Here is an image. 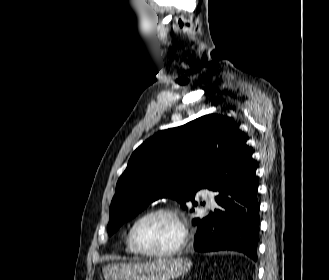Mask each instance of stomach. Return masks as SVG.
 I'll list each match as a JSON object with an SVG mask.
<instances>
[{
    "label": "stomach",
    "instance_id": "stomach-1",
    "mask_svg": "<svg viewBox=\"0 0 329 280\" xmlns=\"http://www.w3.org/2000/svg\"><path fill=\"white\" fill-rule=\"evenodd\" d=\"M192 263L185 258L149 262H118L103 267L105 280H172L185 274Z\"/></svg>",
    "mask_w": 329,
    "mask_h": 280
}]
</instances>
